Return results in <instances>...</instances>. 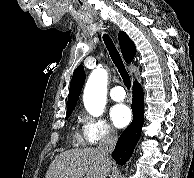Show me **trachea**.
<instances>
[{"mask_svg": "<svg viewBox=\"0 0 194 178\" xmlns=\"http://www.w3.org/2000/svg\"><path fill=\"white\" fill-rule=\"evenodd\" d=\"M103 41L106 45V48L109 51V54H110V57H111L113 63L117 67V69H118V71L123 79L124 85L126 86L127 89H130V87H131L130 76L125 69L122 58H121L118 50L116 49L112 39L109 37L108 34H104Z\"/></svg>", "mask_w": 194, "mask_h": 178, "instance_id": "1", "label": "trachea"}]
</instances>
